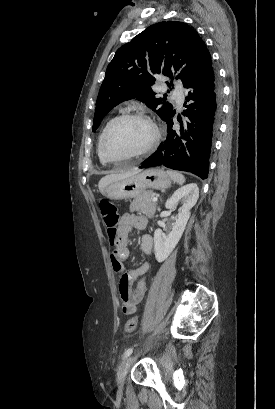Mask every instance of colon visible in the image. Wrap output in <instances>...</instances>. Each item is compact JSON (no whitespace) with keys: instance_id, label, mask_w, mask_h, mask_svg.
<instances>
[{"instance_id":"5ec220e1","label":"colon","mask_w":275,"mask_h":409,"mask_svg":"<svg viewBox=\"0 0 275 409\" xmlns=\"http://www.w3.org/2000/svg\"><path fill=\"white\" fill-rule=\"evenodd\" d=\"M100 211L104 219V224L108 236L109 243L112 247H116L119 237V214L117 206L108 199H103L100 202ZM138 319L136 316L130 317L125 324V331L132 333L137 328Z\"/></svg>"}]
</instances>
